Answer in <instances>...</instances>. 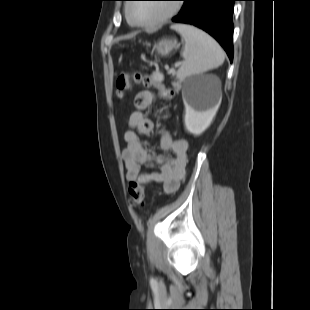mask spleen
I'll return each instance as SVG.
<instances>
[{"instance_id": "3e777b00", "label": "spleen", "mask_w": 310, "mask_h": 310, "mask_svg": "<svg viewBox=\"0 0 310 310\" xmlns=\"http://www.w3.org/2000/svg\"><path fill=\"white\" fill-rule=\"evenodd\" d=\"M171 28L176 30L184 41L181 52L184 61L177 73L179 78L201 74L223 64L224 51L210 35L186 24H176Z\"/></svg>"}]
</instances>
